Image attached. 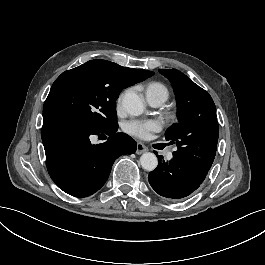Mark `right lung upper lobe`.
<instances>
[{
    "instance_id": "cb5924a9",
    "label": "right lung upper lobe",
    "mask_w": 265,
    "mask_h": 265,
    "mask_svg": "<svg viewBox=\"0 0 265 265\" xmlns=\"http://www.w3.org/2000/svg\"><path fill=\"white\" fill-rule=\"evenodd\" d=\"M129 69H131V68H129ZM131 70H133L137 74V76L139 77L140 81H143L146 78H148V77H150V76H152L154 74V72L147 71V70H137V69H131Z\"/></svg>"
}]
</instances>
